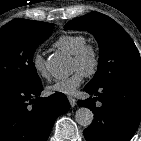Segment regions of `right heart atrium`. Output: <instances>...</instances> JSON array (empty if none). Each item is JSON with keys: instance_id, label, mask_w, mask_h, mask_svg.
Here are the masks:
<instances>
[{"instance_id": "obj_1", "label": "right heart atrium", "mask_w": 141, "mask_h": 141, "mask_svg": "<svg viewBox=\"0 0 141 141\" xmlns=\"http://www.w3.org/2000/svg\"><path fill=\"white\" fill-rule=\"evenodd\" d=\"M32 65L35 72L42 77L47 76V69L45 65V60L40 53H36L32 58Z\"/></svg>"}]
</instances>
